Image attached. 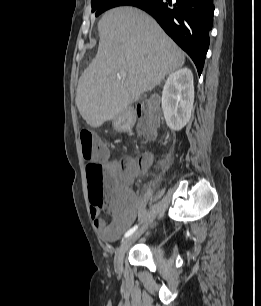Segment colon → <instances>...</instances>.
Returning <instances> with one entry per match:
<instances>
[{
	"instance_id": "5ec220e1",
	"label": "colon",
	"mask_w": 261,
	"mask_h": 306,
	"mask_svg": "<svg viewBox=\"0 0 261 306\" xmlns=\"http://www.w3.org/2000/svg\"><path fill=\"white\" fill-rule=\"evenodd\" d=\"M132 114L136 119L138 134L146 139L155 134L157 123V110L153 103L139 104L133 108ZM82 157L87 162L88 188L92 198H106L110 207L112 200L124 196L122 190L114 189L116 170L114 166L103 164L107 150L104 146L97 145L90 130H82L80 133Z\"/></svg>"
}]
</instances>
